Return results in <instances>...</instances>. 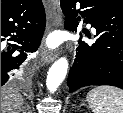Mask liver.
<instances>
[{
  "label": "liver",
  "instance_id": "liver-1",
  "mask_svg": "<svg viewBox=\"0 0 123 113\" xmlns=\"http://www.w3.org/2000/svg\"><path fill=\"white\" fill-rule=\"evenodd\" d=\"M23 96L12 87L1 88V113H24Z\"/></svg>",
  "mask_w": 123,
  "mask_h": 113
}]
</instances>
